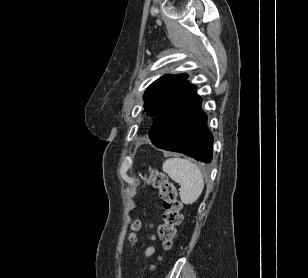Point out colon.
Segmentation results:
<instances>
[{
	"label": "colon",
	"mask_w": 308,
	"mask_h": 278,
	"mask_svg": "<svg viewBox=\"0 0 308 278\" xmlns=\"http://www.w3.org/2000/svg\"><path fill=\"white\" fill-rule=\"evenodd\" d=\"M146 182L159 191L164 212L163 223L159 225L157 232L163 247L170 249L177 235V227L182 222V204L178 199L177 190L167 176L158 170H152L146 176ZM139 228L140 223L138 221H135L131 226L132 233L129 239L132 243L136 240L135 232Z\"/></svg>",
	"instance_id": "5ec220e1"
}]
</instances>
